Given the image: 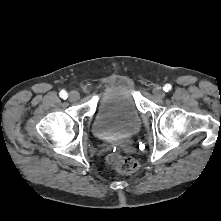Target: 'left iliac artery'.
I'll return each instance as SVG.
<instances>
[{
    "label": "left iliac artery",
    "instance_id": "left-iliac-artery-1",
    "mask_svg": "<svg viewBox=\"0 0 221 221\" xmlns=\"http://www.w3.org/2000/svg\"><path fill=\"white\" fill-rule=\"evenodd\" d=\"M163 90H164L165 92L170 91V90H171V85H170V84H166L165 87L163 88Z\"/></svg>",
    "mask_w": 221,
    "mask_h": 221
}]
</instances>
